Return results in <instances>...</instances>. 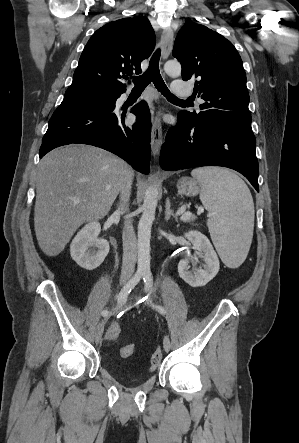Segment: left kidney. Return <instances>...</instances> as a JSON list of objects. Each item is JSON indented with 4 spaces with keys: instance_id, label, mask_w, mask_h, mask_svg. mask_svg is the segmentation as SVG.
Segmentation results:
<instances>
[{
    "instance_id": "5707ae66",
    "label": "left kidney",
    "mask_w": 299,
    "mask_h": 443,
    "mask_svg": "<svg viewBox=\"0 0 299 443\" xmlns=\"http://www.w3.org/2000/svg\"><path fill=\"white\" fill-rule=\"evenodd\" d=\"M184 236L192 243L193 248L199 252V256L203 258L205 265L203 269L190 271L189 260L187 258L182 259L178 264L179 275L192 287L205 286L219 271L218 256L209 239L201 232L189 231Z\"/></svg>"
}]
</instances>
